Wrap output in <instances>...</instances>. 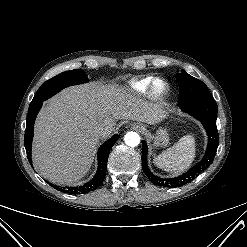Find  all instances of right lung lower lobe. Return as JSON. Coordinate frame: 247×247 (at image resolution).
<instances>
[{"label": "right lung lower lobe", "mask_w": 247, "mask_h": 247, "mask_svg": "<svg viewBox=\"0 0 247 247\" xmlns=\"http://www.w3.org/2000/svg\"><path fill=\"white\" fill-rule=\"evenodd\" d=\"M41 107H42V103L37 104L35 106H30L27 115L24 144L30 164H32L31 146H32L33 133H34V122ZM118 139H119V135L115 134L113 137H111L108 141H106L104 144L100 146L97 154L98 170L96 175L90 182H87L86 184L79 187H57L56 185H52V184L51 185L57 188L59 191L65 193H71V194H84L97 189L102 184L105 178V174L107 171L108 156L111 148Z\"/></svg>", "instance_id": "1"}]
</instances>
